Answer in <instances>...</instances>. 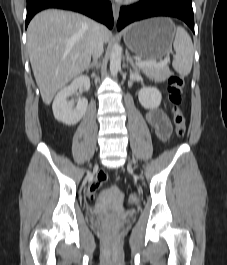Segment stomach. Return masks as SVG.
I'll return each mask as SVG.
<instances>
[{"label": "stomach", "instance_id": "stomach-1", "mask_svg": "<svg viewBox=\"0 0 227 265\" xmlns=\"http://www.w3.org/2000/svg\"><path fill=\"white\" fill-rule=\"evenodd\" d=\"M175 34V25L169 18L157 17L128 26L124 41L143 60L155 61L169 53Z\"/></svg>", "mask_w": 227, "mask_h": 265}]
</instances>
